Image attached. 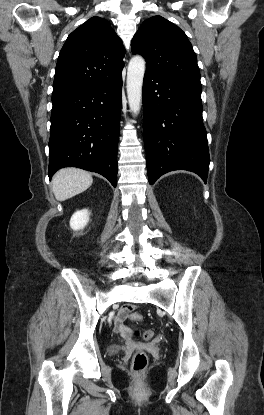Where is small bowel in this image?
Instances as JSON below:
<instances>
[{"label":"small bowel","instance_id":"small-bowel-1","mask_svg":"<svg viewBox=\"0 0 264 415\" xmlns=\"http://www.w3.org/2000/svg\"><path fill=\"white\" fill-rule=\"evenodd\" d=\"M128 312V308L123 307L118 311L113 320L115 332L121 334L122 336L126 335L127 333V328L124 325V322L127 318Z\"/></svg>","mask_w":264,"mask_h":415}]
</instances>
